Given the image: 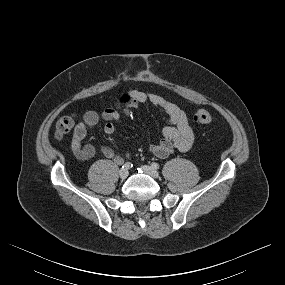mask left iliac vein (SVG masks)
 <instances>
[{"mask_svg":"<svg viewBox=\"0 0 285 285\" xmlns=\"http://www.w3.org/2000/svg\"><path fill=\"white\" fill-rule=\"evenodd\" d=\"M141 170L145 174H147V175H149V176H151L153 178H158L159 177L158 171L156 169H154L153 167H151V166L143 165V166H141Z\"/></svg>","mask_w":285,"mask_h":285,"instance_id":"4c4485c4","label":"left iliac vein"}]
</instances>
